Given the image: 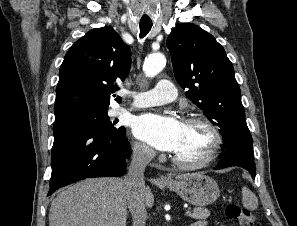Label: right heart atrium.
Here are the masks:
<instances>
[{
    "instance_id": "right-heart-atrium-1",
    "label": "right heart atrium",
    "mask_w": 297,
    "mask_h": 226,
    "mask_svg": "<svg viewBox=\"0 0 297 226\" xmlns=\"http://www.w3.org/2000/svg\"><path fill=\"white\" fill-rule=\"evenodd\" d=\"M133 153H134V156L141 161H147L153 155V151L148 146L140 142L134 143Z\"/></svg>"
}]
</instances>
